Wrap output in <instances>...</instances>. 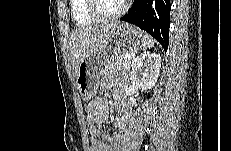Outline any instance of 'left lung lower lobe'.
<instances>
[{"label": "left lung lower lobe", "mask_w": 231, "mask_h": 151, "mask_svg": "<svg viewBox=\"0 0 231 151\" xmlns=\"http://www.w3.org/2000/svg\"><path fill=\"white\" fill-rule=\"evenodd\" d=\"M170 11V0H134L131 9L121 20L147 31L167 50Z\"/></svg>", "instance_id": "1"}]
</instances>
